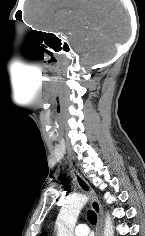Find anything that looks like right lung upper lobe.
I'll return each mask as SVG.
<instances>
[{"mask_svg":"<svg viewBox=\"0 0 145 236\" xmlns=\"http://www.w3.org/2000/svg\"><path fill=\"white\" fill-rule=\"evenodd\" d=\"M40 236H46V234H41Z\"/></svg>","mask_w":145,"mask_h":236,"instance_id":"obj_1","label":"right lung upper lobe"}]
</instances>
